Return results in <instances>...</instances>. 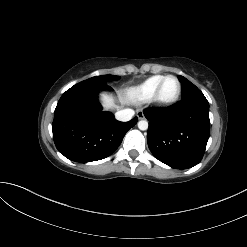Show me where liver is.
<instances>
[{
  "label": "liver",
  "mask_w": 247,
  "mask_h": 247,
  "mask_svg": "<svg viewBox=\"0 0 247 247\" xmlns=\"http://www.w3.org/2000/svg\"><path fill=\"white\" fill-rule=\"evenodd\" d=\"M100 100L102 102L103 107L106 110L114 109V108H118L119 107L116 104L115 98L112 95H110V94H108L106 92H103V93L100 94ZM117 100H118V103L120 105H124L126 103L125 98L121 94H118Z\"/></svg>",
  "instance_id": "liver-1"
}]
</instances>
